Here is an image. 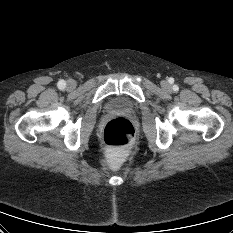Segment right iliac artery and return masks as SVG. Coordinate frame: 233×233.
<instances>
[{
    "label": "right iliac artery",
    "instance_id": "1",
    "mask_svg": "<svg viewBox=\"0 0 233 233\" xmlns=\"http://www.w3.org/2000/svg\"><path fill=\"white\" fill-rule=\"evenodd\" d=\"M66 87V82L64 80H60L58 82V88L59 89H64Z\"/></svg>",
    "mask_w": 233,
    "mask_h": 233
}]
</instances>
